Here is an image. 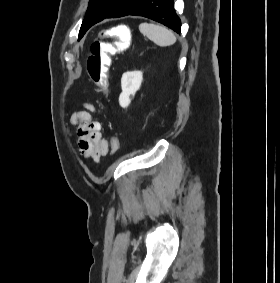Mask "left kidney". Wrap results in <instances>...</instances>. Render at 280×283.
I'll use <instances>...</instances> for the list:
<instances>
[{
    "label": "left kidney",
    "instance_id": "1",
    "mask_svg": "<svg viewBox=\"0 0 280 283\" xmlns=\"http://www.w3.org/2000/svg\"><path fill=\"white\" fill-rule=\"evenodd\" d=\"M143 81V73L141 71H130L122 75L121 88L122 92L119 96V104L122 108H127L131 102L130 96H134L140 88Z\"/></svg>",
    "mask_w": 280,
    "mask_h": 283
}]
</instances>
